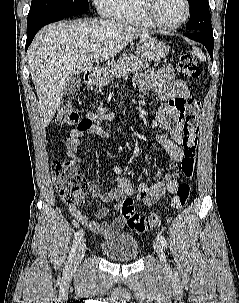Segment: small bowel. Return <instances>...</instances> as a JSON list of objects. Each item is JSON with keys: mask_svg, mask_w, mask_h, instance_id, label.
Returning <instances> with one entry per match:
<instances>
[{"mask_svg": "<svg viewBox=\"0 0 239 303\" xmlns=\"http://www.w3.org/2000/svg\"><path fill=\"white\" fill-rule=\"evenodd\" d=\"M134 83L140 91L153 89L156 97L165 103L157 111V120L162 126L169 129V135H156L155 141L171 160L180 162L183 157L181 118L184 114V102L188 97L187 85L174 77L170 65L140 73L135 77ZM111 117L112 115L104 110L88 112L67 140V156L76 163H80L82 159L77 155V151L81 145V137L85 134H95L104 139L108 138L109 134L101 128L100 124ZM109 170L118 176L115 179L116 186L109 191L101 192L100 182L93 180L91 197L104 203H112V206L101 207L90 216L84 214L76 206L69 208L78 224L86 226L90 231L100 234L106 239L114 238L124 227L123 217L113 215L119 210L126 197L135 196L138 201L151 205L165 194L176 192L178 187L177 176L164 173L156 183L152 185L141 183L135 188L129 179L120 176L123 172L121 166L114 165ZM108 217L109 219L103 222L94 220Z\"/></svg>", "mask_w": 239, "mask_h": 303, "instance_id": "obj_1", "label": "small bowel"}]
</instances>
